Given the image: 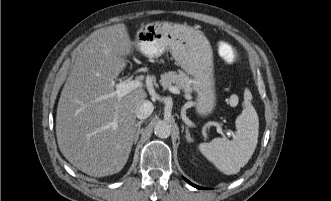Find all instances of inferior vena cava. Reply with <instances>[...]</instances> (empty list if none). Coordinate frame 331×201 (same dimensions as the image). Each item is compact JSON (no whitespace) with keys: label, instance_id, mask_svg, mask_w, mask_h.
I'll list each match as a JSON object with an SVG mask.
<instances>
[{"label":"inferior vena cava","instance_id":"inferior-vena-cava-1","mask_svg":"<svg viewBox=\"0 0 331 201\" xmlns=\"http://www.w3.org/2000/svg\"><path fill=\"white\" fill-rule=\"evenodd\" d=\"M154 110L153 104L145 100L136 108V117L138 119H146L148 118Z\"/></svg>","mask_w":331,"mask_h":201}]
</instances>
